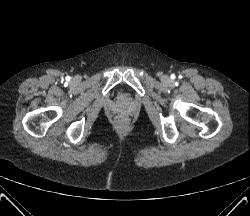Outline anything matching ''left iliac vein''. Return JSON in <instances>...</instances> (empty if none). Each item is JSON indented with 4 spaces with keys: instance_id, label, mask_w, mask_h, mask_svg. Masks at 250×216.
<instances>
[{
    "instance_id": "left-iliac-vein-1",
    "label": "left iliac vein",
    "mask_w": 250,
    "mask_h": 216,
    "mask_svg": "<svg viewBox=\"0 0 250 216\" xmlns=\"http://www.w3.org/2000/svg\"><path fill=\"white\" fill-rule=\"evenodd\" d=\"M164 81H165L166 83H170V82H171V80H170L168 77H165Z\"/></svg>"
}]
</instances>
